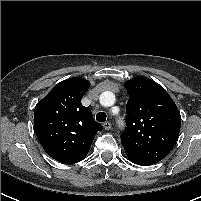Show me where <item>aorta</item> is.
<instances>
[{"mask_svg": "<svg viewBox=\"0 0 201 201\" xmlns=\"http://www.w3.org/2000/svg\"><path fill=\"white\" fill-rule=\"evenodd\" d=\"M114 95L111 92H104L101 96V98H109V99H113Z\"/></svg>", "mask_w": 201, "mask_h": 201, "instance_id": "aorta-1", "label": "aorta"}]
</instances>
